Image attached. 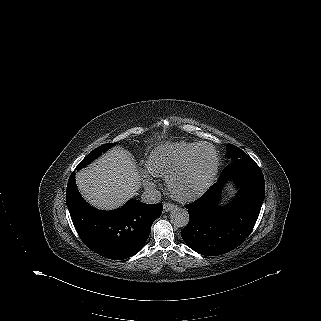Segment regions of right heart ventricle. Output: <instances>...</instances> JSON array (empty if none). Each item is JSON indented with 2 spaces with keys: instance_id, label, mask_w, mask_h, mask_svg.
<instances>
[{
  "instance_id": "1",
  "label": "right heart ventricle",
  "mask_w": 321,
  "mask_h": 321,
  "mask_svg": "<svg viewBox=\"0 0 321 321\" xmlns=\"http://www.w3.org/2000/svg\"><path fill=\"white\" fill-rule=\"evenodd\" d=\"M200 143H164L155 147L147 161L148 171L155 176H167L181 164Z\"/></svg>"
}]
</instances>
